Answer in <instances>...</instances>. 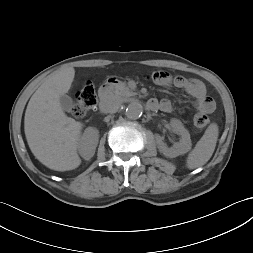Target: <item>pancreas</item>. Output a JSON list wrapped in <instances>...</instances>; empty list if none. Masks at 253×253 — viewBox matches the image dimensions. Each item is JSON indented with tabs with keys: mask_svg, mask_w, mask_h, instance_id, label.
I'll use <instances>...</instances> for the list:
<instances>
[{
	"mask_svg": "<svg viewBox=\"0 0 253 253\" xmlns=\"http://www.w3.org/2000/svg\"><path fill=\"white\" fill-rule=\"evenodd\" d=\"M115 95L121 97L132 96L135 93L130 90V88L124 82H118L114 90Z\"/></svg>",
	"mask_w": 253,
	"mask_h": 253,
	"instance_id": "pancreas-1",
	"label": "pancreas"
}]
</instances>
